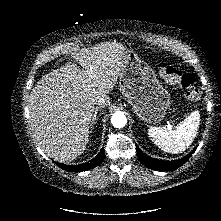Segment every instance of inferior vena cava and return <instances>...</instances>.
<instances>
[{
  "label": "inferior vena cava",
  "instance_id": "1",
  "mask_svg": "<svg viewBox=\"0 0 221 221\" xmlns=\"http://www.w3.org/2000/svg\"><path fill=\"white\" fill-rule=\"evenodd\" d=\"M110 103V99L107 96H98L95 99V104L101 107H105Z\"/></svg>",
  "mask_w": 221,
  "mask_h": 221
}]
</instances>
